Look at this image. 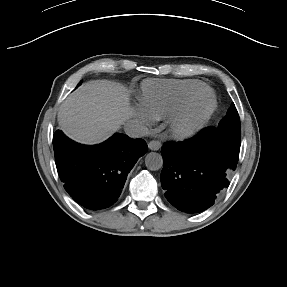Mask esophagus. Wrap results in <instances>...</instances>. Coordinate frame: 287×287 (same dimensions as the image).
Masks as SVG:
<instances>
[{"label":"esophagus","instance_id":"esophagus-1","mask_svg":"<svg viewBox=\"0 0 287 287\" xmlns=\"http://www.w3.org/2000/svg\"><path fill=\"white\" fill-rule=\"evenodd\" d=\"M148 147L150 150L157 151L161 148V142L158 140H151L148 143Z\"/></svg>","mask_w":287,"mask_h":287}]
</instances>
